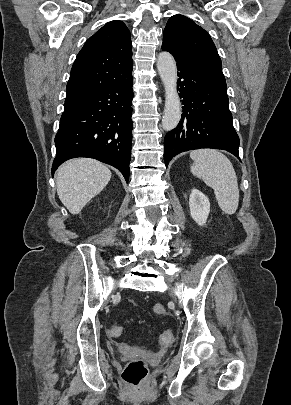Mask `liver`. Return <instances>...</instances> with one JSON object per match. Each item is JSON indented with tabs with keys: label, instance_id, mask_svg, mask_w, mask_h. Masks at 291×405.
I'll return each mask as SVG.
<instances>
[{
	"label": "liver",
	"instance_id": "1",
	"mask_svg": "<svg viewBox=\"0 0 291 405\" xmlns=\"http://www.w3.org/2000/svg\"><path fill=\"white\" fill-rule=\"evenodd\" d=\"M110 178L111 171L97 160H69L57 170V194L70 213L78 214L106 187Z\"/></svg>",
	"mask_w": 291,
	"mask_h": 405
}]
</instances>
